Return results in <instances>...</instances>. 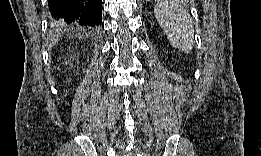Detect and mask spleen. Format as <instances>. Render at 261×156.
Listing matches in <instances>:
<instances>
[{"label": "spleen", "mask_w": 261, "mask_h": 156, "mask_svg": "<svg viewBox=\"0 0 261 156\" xmlns=\"http://www.w3.org/2000/svg\"><path fill=\"white\" fill-rule=\"evenodd\" d=\"M154 14L172 47L190 53L194 46V30L187 8L176 1H158Z\"/></svg>", "instance_id": "3e777b00"}]
</instances>
